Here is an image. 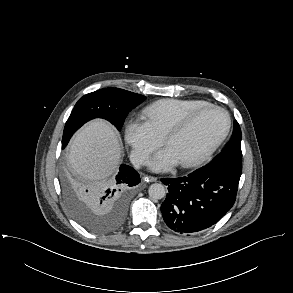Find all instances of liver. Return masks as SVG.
Returning <instances> with one entry per match:
<instances>
[{
    "mask_svg": "<svg viewBox=\"0 0 293 293\" xmlns=\"http://www.w3.org/2000/svg\"><path fill=\"white\" fill-rule=\"evenodd\" d=\"M121 156L117 133L107 122L94 120L76 134L68 157L77 175L88 181H100L115 172Z\"/></svg>",
    "mask_w": 293,
    "mask_h": 293,
    "instance_id": "obj_1",
    "label": "liver"
}]
</instances>
